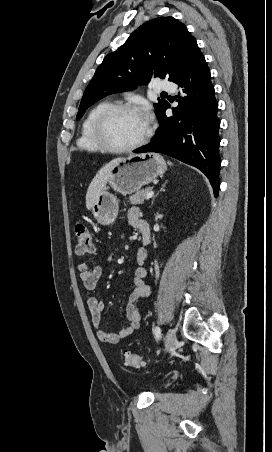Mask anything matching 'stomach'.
<instances>
[{
    "mask_svg": "<svg viewBox=\"0 0 272 452\" xmlns=\"http://www.w3.org/2000/svg\"><path fill=\"white\" fill-rule=\"evenodd\" d=\"M166 170L164 159L155 153L130 154L120 160L112 168L106 185L122 195L139 191L162 175ZM119 210L117 198L107 191V186L97 196L91 212L97 223L112 224Z\"/></svg>",
    "mask_w": 272,
    "mask_h": 452,
    "instance_id": "1",
    "label": "stomach"
}]
</instances>
